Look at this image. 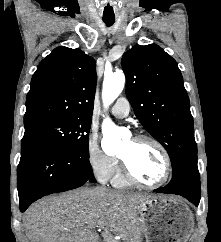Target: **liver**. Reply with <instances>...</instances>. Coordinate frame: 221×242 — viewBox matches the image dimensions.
Segmentation results:
<instances>
[{"label": "liver", "mask_w": 221, "mask_h": 242, "mask_svg": "<svg viewBox=\"0 0 221 242\" xmlns=\"http://www.w3.org/2000/svg\"><path fill=\"white\" fill-rule=\"evenodd\" d=\"M152 196L102 188L77 189L34 203L23 217L30 242H99L94 228L141 242L140 203Z\"/></svg>", "instance_id": "1"}]
</instances>
